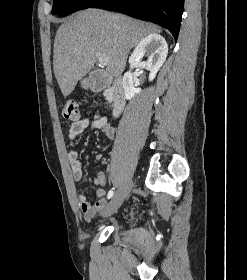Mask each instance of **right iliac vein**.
<instances>
[{"mask_svg": "<svg viewBox=\"0 0 247 280\" xmlns=\"http://www.w3.org/2000/svg\"><path fill=\"white\" fill-rule=\"evenodd\" d=\"M130 188H131L130 182L118 188L115 195L113 196L111 201L108 203V205L102 212L103 217H108L118 210V208L121 206L125 198L128 196Z\"/></svg>", "mask_w": 247, "mask_h": 280, "instance_id": "63e3f726", "label": "right iliac vein"}]
</instances>
